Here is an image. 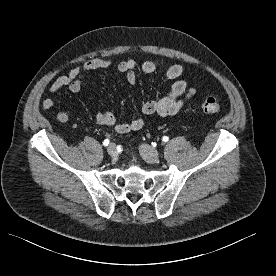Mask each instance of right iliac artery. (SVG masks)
Wrapping results in <instances>:
<instances>
[{
  "mask_svg": "<svg viewBox=\"0 0 276 276\" xmlns=\"http://www.w3.org/2000/svg\"><path fill=\"white\" fill-rule=\"evenodd\" d=\"M109 142H110L109 139H105L104 142H103V144H104V145H108Z\"/></svg>",
  "mask_w": 276,
  "mask_h": 276,
  "instance_id": "right-iliac-artery-1",
  "label": "right iliac artery"
}]
</instances>
